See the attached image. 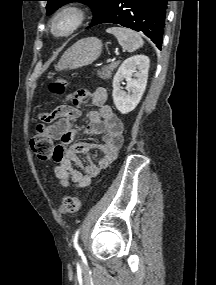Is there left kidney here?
Returning a JSON list of instances; mask_svg holds the SVG:
<instances>
[{
    "label": "left kidney",
    "instance_id": "5707ae66",
    "mask_svg": "<svg viewBox=\"0 0 216 285\" xmlns=\"http://www.w3.org/2000/svg\"><path fill=\"white\" fill-rule=\"evenodd\" d=\"M150 60L145 55H136L126 59L119 67L113 79V101L122 114L133 111L140 102L148 79ZM127 81L123 91L121 83Z\"/></svg>",
    "mask_w": 216,
    "mask_h": 285
}]
</instances>
